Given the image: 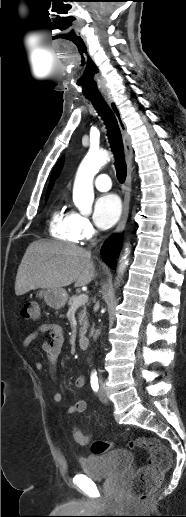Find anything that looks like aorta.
Wrapping results in <instances>:
<instances>
[{
  "mask_svg": "<svg viewBox=\"0 0 186 517\" xmlns=\"http://www.w3.org/2000/svg\"><path fill=\"white\" fill-rule=\"evenodd\" d=\"M110 160V155L106 150H90L82 160L76 173L73 186V202L83 213H90L93 200V179L100 168ZM128 253V249H126ZM127 254L122 258L119 274H123L127 261Z\"/></svg>",
  "mask_w": 186,
  "mask_h": 517,
  "instance_id": "762f6f07",
  "label": "aorta"
}]
</instances>
